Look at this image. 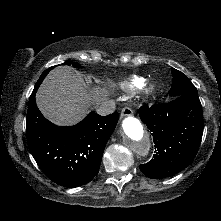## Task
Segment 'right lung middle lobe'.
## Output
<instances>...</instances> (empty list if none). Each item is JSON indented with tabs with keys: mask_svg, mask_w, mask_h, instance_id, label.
<instances>
[{
	"mask_svg": "<svg viewBox=\"0 0 221 221\" xmlns=\"http://www.w3.org/2000/svg\"><path fill=\"white\" fill-rule=\"evenodd\" d=\"M64 64H70V65H71L72 62L69 61V62H65ZM73 65L76 66V67H80V66H79L78 64H76V63H75V64L73 63ZM52 68H53V67H51V68L45 70V71L42 73V75H41V77L39 78V80H42Z\"/></svg>",
	"mask_w": 221,
	"mask_h": 221,
	"instance_id": "dd1d6c3e",
	"label": "right lung middle lobe"
}]
</instances>
